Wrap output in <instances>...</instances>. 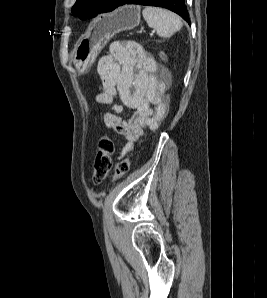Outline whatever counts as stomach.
Returning a JSON list of instances; mask_svg holds the SVG:
<instances>
[{
  "instance_id": "stomach-1",
  "label": "stomach",
  "mask_w": 267,
  "mask_h": 298,
  "mask_svg": "<svg viewBox=\"0 0 267 298\" xmlns=\"http://www.w3.org/2000/svg\"><path fill=\"white\" fill-rule=\"evenodd\" d=\"M140 18V7L136 5H124L100 17L74 49L72 61L76 69L80 72L87 70L115 34L135 28Z\"/></svg>"
}]
</instances>
